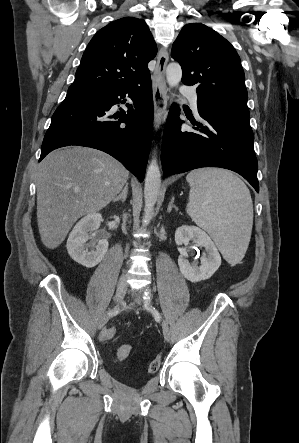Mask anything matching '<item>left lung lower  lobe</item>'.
I'll use <instances>...</instances> for the list:
<instances>
[{
  "instance_id": "0a47b994",
  "label": "left lung lower lobe",
  "mask_w": 299,
  "mask_h": 443,
  "mask_svg": "<svg viewBox=\"0 0 299 443\" xmlns=\"http://www.w3.org/2000/svg\"><path fill=\"white\" fill-rule=\"evenodd\" d=\"M198 112L201 123L194 131L181 127L180 110L171 106L162 141L161 162L166 176L201 167H221L239 173L259 192L254 135L249 118L223 113Z\"/></svg>"
}]
</instances>
